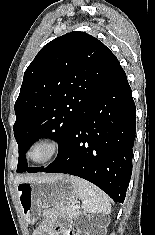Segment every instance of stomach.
<instances>
[{
    "label": "stomach",
    "mask_w": 155,
    "mask_h": 235,
    "mask_svg": "<svg viewBox=\"0 0 155 235\" xmlns=\"http://www.w3.org/2000/svg\"><path fill=\"white\" fill-rule=\"evenodd\" d=\"M17 196L26 222L33 224L40 217L42 208L73 203L79 198V192L71 177L57 175L19 183Z\"/></svg>",
    "instance_id": "0dacf381"
}]
</instances>
